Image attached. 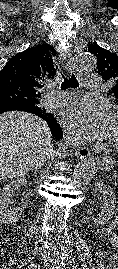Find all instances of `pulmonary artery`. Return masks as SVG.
I'll return each instance as SVG.
<instances>
[{
  "label": "pulmonary artery",
  "instance_id": "1",
  "mask_svg": "<svg viewBox=\"0 0 118 269\" xmlns=\"http://www.w3.org/2000/svg\"><path fill=\"white\" fill-rule=\"evenodd\" d=\"M85 84L88 89L96 90L101 85V78L99 76L88 77L85 79ZM76 99H77V96L75 95H66L64 97L51 98V102L54 104L66 105V104L75 102Z\"/></svg>",
  "mask_w": 118,
  "mask_h": 269
}]
</instances>
